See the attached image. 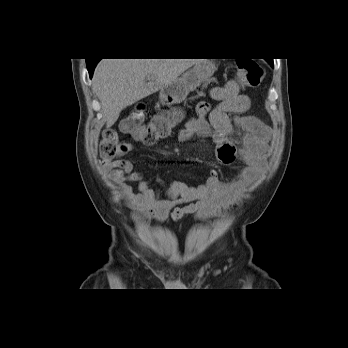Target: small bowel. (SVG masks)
Wrapping results in <instances>:
<instances>
[{
  "mask_svg": "<svg viewBox=\"0 0 348 348\" xmlns=\"http://www.w3.org/2000/svg\"><path fill=\"white\" fill-rule=\"evenodd\" d=\"M209 95L218 104L211 107L209 102H200L196 116L186 120L180 129L179 139L187 142L195 135L213 134L219 162L225 165L238 162L243 168L229 182L222 181L218 172L212 170L196 187L181 181L165 186L158 181L159 188L154 190L144 172L137 170L133 161L123 156L133 149L129 145L125 153L116 160L105 162L102 169L118 186L124 205L131 210L132 220L153 218L165 222L169 218L180 220L190 214L198 219L221 216L240 202L246 188L263 173L271 130L258 118L244 115L251 105L249 96L240 93L235 80L211 88ZM229 114H234L235 118L231 119ZM236 127L244 130L239 148L230 139ZM128 182L137 183L138 191L134 192Z\"/></svg>",
  "mask_w": 348,
  "mask_h": 348,
  "instance_id": "1",
  "label": "small bowel"
}]
</instances>
